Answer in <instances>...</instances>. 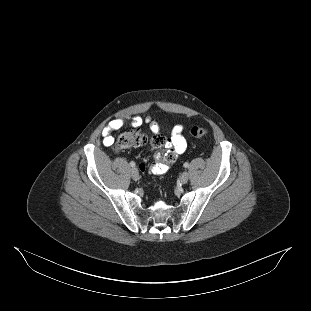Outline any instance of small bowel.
Instances as JSON below:
<instances>
[{
    "mask_svg": "<svg viewBox=\"0 0 311 311\" xmlns=\"http://www.w3.org/2000/svg\"><path fill=\"white\" fill-rule=\"evenodd\" d=\"M143 120L140 117H134L132 120V125L138 127L142 124ZM146 122L149 124V128L153 133H158L159 125L147 119ZM124 127V121L122 119H113L110 121L102 130L103 144L105 146H111L114 143V138L112 136L113 132L118 131ZM155 148L165 147L167 149L164 155L159 152L155 154L157 160L163 159V163H156L153 165L151 171L155 174L164 173L167 170V164H172L176 161L179 155H181L187 146L186 139L183 135V126L180 124L174 125L171 128V138L164 143V145H159L153 142ZM159 168L162 170L159 171Z\"/></svg>",
    "mask_w": 311,
    "mask_h": 311,
    "instance_id": "obj_1",
    "label": "small bowel"
}]
</instances>
